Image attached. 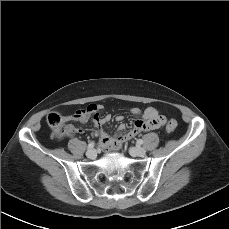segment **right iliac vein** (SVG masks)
<instances>
[{"mask_svg": "<svg viewBox=\"0 0 229 229\" xmlns=\"http://www.w3.org/2000/svg\"><path fill=\"white\" fill-rule=\"evenodd\" d=\"M86 155L88 158L94 159L97 155V152L95 149H89V150H87Z\"/></svg>", "mask_w": 229, "mask_h": 229, "instance_id": "right-iliac-vein-1", "label": "right iliac vein"}]
</instances>
